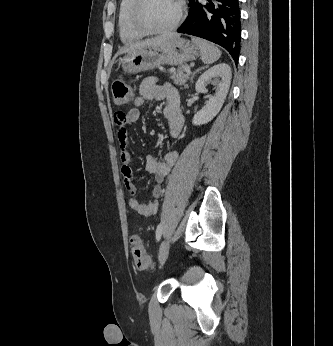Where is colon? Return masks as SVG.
I'll return each instance as SVG.
<instances>
[{
  "instance_id": "obj_1",
  "label": "colon",
  "mask_w": 333,
  "mask_h": 346,
  "mask_svg": "<svg viewBox=\"0 0 333 346\" xmlns=\"http://www.w3.org/2000/svg\"><path fill=\"white\" fill-rule=\"evenodd\" d=\"M112 94L115 104L119 107L128 105L131 100V88L123 79H116L112 83ZM117 115L124 118L123 112H119ZM131 253L138 269L148 270L153 267L142 240L136 235L131 238Z\"/></svg>"
}]
</instances>
